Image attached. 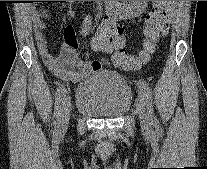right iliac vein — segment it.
<instances>
[{"label":"right iliac vein","mask_w":207,"mask_h":169,"mask_svg":"<svg viewBox=\"0 0 207 169\" xmlns=\"http://www.w3.org/2000/svg\"><path fill=\"white\" fill-rule=\"evenodd\" d=\"M70 112H71V100L69 96H65L61 119H60V125H59L61 130H64L67 128L69 119H70Z\"/></svg>","instance_id":"obj_1"}]
</instances>
